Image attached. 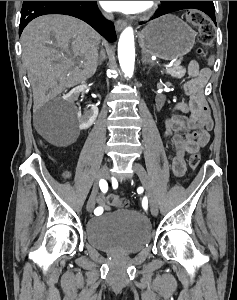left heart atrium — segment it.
Returning <instances> with one entry per match:
<instances>
[{
  "label": "left heart atrium",
  "mask_w": 237,
  "mask_h": 300,
  "mask_svg": "<svg viewBox=\"0 0 237 300\" xmlns=\"http://www.w3.org/2000/svg\"><path fill=\"white\" fill-rule=\"evenodd\" d=\"M146 1H100L102 7L109 12L137 13Z\"/></svg>",
  "instance_id": "1"
}]
</instances>
